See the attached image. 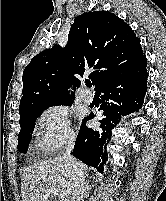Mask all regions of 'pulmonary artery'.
<instances>
[{
	"label": "pulmonary artery",
	"instance_id": "1",
	"mask_svg": "<svg viewBox=\"0 0 166 201\" xmlns=\"http://www.w3.org/2000/svg\"><path fill=\"white\" fill-rule=\"evenodd\" d=\"M79 97L85 103H90L93 100V94L87 88L80 90Z\"/></svg>",
	"mask_w": 166,
	"mask_h": 201
}]
</instances>
